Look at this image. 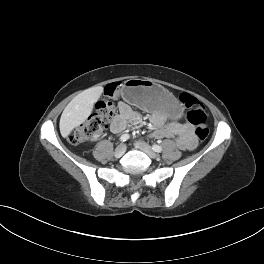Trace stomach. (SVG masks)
<instances>
[{
    "mask_svg": "<svg viewBox=\"0 0 264 264\" xmlns=\"http://www.w3.org/2000/svg\"><path fill=\"white\" fill-rule=\"evenodd\" d=\"M123 98L148 111H163L169 117L178 118L181 108L175 97L162 86L144 79H129L125 82Z\"/></svg>",
    "mask_w": 264,
    "mask_h": 264,
    "instance_id": "stomach-1",
    "label": "stomach"
}]
</instances>
